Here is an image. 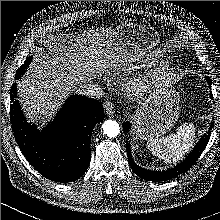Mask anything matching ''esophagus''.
<instances>
[{"mask_svg":"<svg viewBox=\"0 0 220 220\" xmlns=\"http://www.w3.org/2000/svg\"><path fill=\"white\" fill-rule=\"evenodd\" d=\"M104 111L108 116H111L115 113V107L114 104L111 101H106L103 104Z\"/></svg>","mask_w":220,"mask_h":220,"instance_id":"34e87169","label":"esophagus"}]
</instances>
